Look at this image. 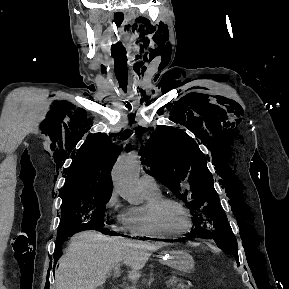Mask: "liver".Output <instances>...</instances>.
<instances>
[{"label": "liver", "instance_id": "liver-1", "mask_svg": "<svg viewBox=\"0 0 289 289\" xmlns=\"http://www.w3.org/2000/svg\"><path fill=\"white\" fill-rule=\"evenodd\" d=\"M160 245L124 241L94 231L76 234L59 260L55 289H97L120 262L131 270L128 277L138 280L152 251Z\"/></svg>", "mask_w": 289, "mask_h": 289}]
</instances>
